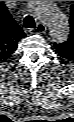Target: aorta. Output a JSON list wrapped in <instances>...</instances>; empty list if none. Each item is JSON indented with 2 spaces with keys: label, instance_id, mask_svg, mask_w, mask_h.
Here are the masks:
<instances>
[{
  "label": "aorta",
  "instance_id": "obj_1",
  "mask_svg": "<svg viewBox=\"0 0 74 122\" xmlns=\"http://www.w3.org/2000/svg\"><path fill=\"white\" fill-rule=\"evenodd\" d=\"M28 9L47 26L53 42L61 44L67 41L69 20L54 1H29Z\"/></svg>",
  "mask_w": 74,
  "mask_h": 122
}]
</instances>
